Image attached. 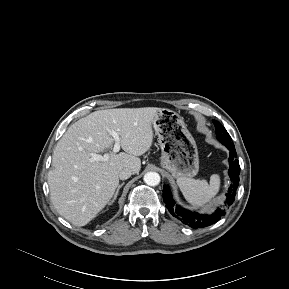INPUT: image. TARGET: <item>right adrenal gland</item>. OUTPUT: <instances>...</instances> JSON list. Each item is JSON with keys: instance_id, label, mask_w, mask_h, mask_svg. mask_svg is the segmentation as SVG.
Segmentation results:
<instances>
[{"instance_id": "2a0ac1e0", "label": "right adrenal gland", "mask_w": 289, "mask_h": 289, "mask_svg": "<svg viewBox=\"0 0 289 289\" xmlns=\"http://www.w3.org/2000/svg\"><path fill=\"white\" fill-rule=\"evenodd\" d=\"M123 185H124V182L118 185V187H117V189H116V191H115V193H114V196H113L111 202L109 203V205H112V204L115 202V200H116V198H117V195H118V193H119V190H120V188H121Z\"/></svg>"}]
</instances>
